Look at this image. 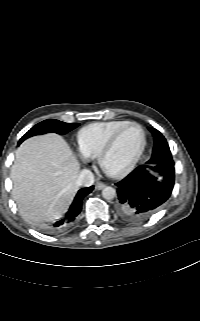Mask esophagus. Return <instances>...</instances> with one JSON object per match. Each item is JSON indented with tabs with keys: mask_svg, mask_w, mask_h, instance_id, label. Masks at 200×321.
Segmentation results:
<instances>
[{
	"mask_svg": "<svg viewBox=\"0 0 200 321\" xmlns=\"http://www.w3.org/2000/svg\"><path fill=\"white\" fill-rule=\"evenodd\" d=\"M105 186H106V185H105L104 183L98 182V183L96 184L95 188H96L97 190H101V189H103Z\"/></svg>",
	"mask_w": 200,
	"mask_h": 321,
	"instance_id": "obj_1",
	"label": "esophagus"
}]
</instances>
